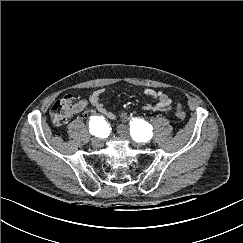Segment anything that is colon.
Here are the masks:
<instances>
[{
  "label": "colon",
  "instance_id": "1",
  "mask_svg": "<svg viewBox=\"0 0 243 243\" xmlns=\"http://www.w3.org/2000/svg\"><path fill=\"white\" fill-rule=\"evenodd\" d=\"M74 105V98L71 95H66L57 100L50 109V116L53 124L56 126L64 125L72 114ZM175 116L180 121H183L186 118V113L181 105H177Z\"/></svg>",
  "mask_w": 243,
  "mask_h": 243
}]
</instances>
